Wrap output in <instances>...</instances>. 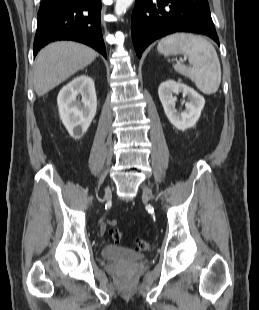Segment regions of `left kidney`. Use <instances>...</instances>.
<instances>
[{"mask_svg":"<svg viewBox=\"0 0 259 310\" xmlns=\"http://www.w3.org/2000/svg\"><path fill=\"white\" fill-rule=\"evenodd\" d=\"M179 92H182L184 96H188L189 99V102L185 103L184 111L181 112L176 109V99L173 97V93ZM158 95L167 118L175 128L185 131L195 126L205 104L203 96L193 88L173 80L161 83L158 88Z\"/></svg>","mask_w":259,"mask_h":310,"instance_id":"5707ae66","label":"left kidney"}]
</instances>
